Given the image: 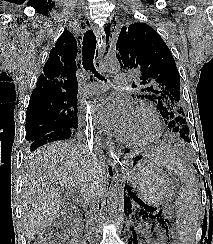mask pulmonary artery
<instances>
[{
	"label": "pulmonary artery",
	"instance_id": "obj_1",
	"mask_svg": "<svg viewBox=\"0 0 213 244\" xmlns=\"http://www.w3.org/2000/svg\"><path fill=\"white\" fill-rule=\"evenodd\" d=\"M129 81V76L124 73L116 74L114 83L116 86L123 85ZM107 85L105 83H88L85 85L83 92L87 95H98L105 91Z\"/></svg>",
	"mask_w": 213,
	"mask_h": 244
}]
</instances>
